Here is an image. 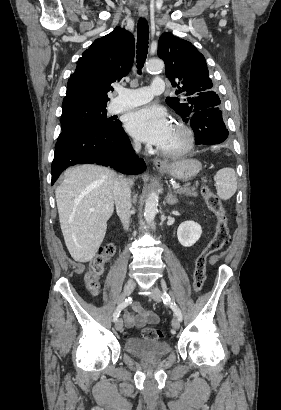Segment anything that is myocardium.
Masks as SVG:
<instances>
[{"mask_svg":"<svg viewBox=\"0 0 281 410\" xmlns=\"http://www.w3.org/2000/svg\"><path fill=\"white\" fill-rule=\"evenodd\" d=\"M173 126L176 127L183 134L184 143L175 150H165L162 148L158 149L160 154H162L165 157H170V158L180 157V156L187 154L189 151L192 150V148L194 147V143H195V135L189 125H187L183 121L176 120L174 121Z\"/></svg>","mask_w":281,"mask_h":410,"instance_id":"1","label":"myocardium"}]
</instances>
